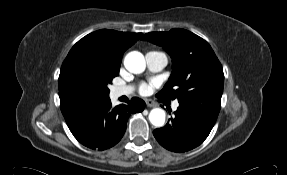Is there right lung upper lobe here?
Here are the masks:
<instances>
[{"mask_svg": "<svg viewBox=\"0 0 287 175\" xmlns=\"http://www.w3.org/2000/svg\"><path fill=\"white\" fill-rule=\"evenodd\" d=\"M141 35L142 33L118 32L108 29L98 30L86 35L68 53L62 64L59 78L71 60L82 51L87 52L92 62L99 68L110 72H119L123 53Z\"/></svg>", "mask_w": 287, "mask_h": 175, "instance_id": "obj_1", "label": "right lung upper lobe"}]
</instances>
